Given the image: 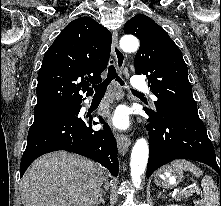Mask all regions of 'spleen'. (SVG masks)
Returning <instances> with one entry per match:
<instances>
[{
	"label": "spleen",
	"mask_w": 221,
	"mask_h": 206,
	"mask_svg": "<svg viewBox=\"0 0 221 206\" xmlns=\"http://www.w3.org/2000/svg\"><path fill=\"white\" fill-rule=\"evenodd\" d=\"M172 166L179 169L190 171L196 177L203 175L202 170L187 160H176ZM204 197L201 200H195V206H218L219 205V191L216 183L212 177L206 175L201 181Z\"/></svg>",
	"instance_id": "3e777b00"
}]
</instances>
